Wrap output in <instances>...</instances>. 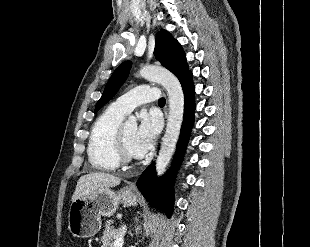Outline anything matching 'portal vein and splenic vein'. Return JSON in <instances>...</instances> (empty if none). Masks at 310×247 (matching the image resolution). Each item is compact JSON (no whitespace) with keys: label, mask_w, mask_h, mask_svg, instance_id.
I'll use <instances>...</instances> for the list:
<instances>
[{"label":"portal vein and splenic vein","mask_w":310,"mask_h":247,"mask_svg":"<svg viewBox=\"0 0 310 247\" xmlns=\"http://www.w3.org/2000/svg\"><path fill=\"white\" fill-rule=\"evenodd\" d=\"M124 243V236L121 234L113 243V247H122Z\"/></svg>","instance_id":"1"}]
</instances>
